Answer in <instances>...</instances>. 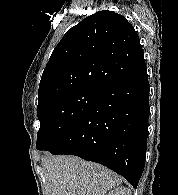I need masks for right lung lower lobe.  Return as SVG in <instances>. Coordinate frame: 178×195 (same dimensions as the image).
Returning a JSON list of instances; mask_svg holds the SVG:
<instances>
[{
	"mask_svg": "<svg viewBox=\"0 0 178 195\" xmlns=\"http://www.w3.org/2000/svg\"><path fill=\"white\" fill-rule=\"evenodd\" d=\"M148 117L145 66L100 89L82 120L50 152L102 164L136 188L144 170Z\"/></svg>",
	"mask_w": 178,
	"mask_h": 195,
	"instance_id": "98d812e1",
	"label": "right lung lower lobe"
}]
</instances>
